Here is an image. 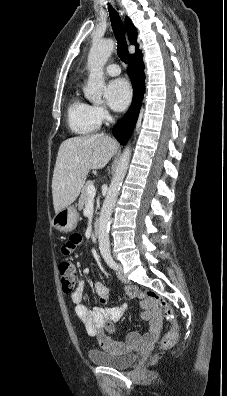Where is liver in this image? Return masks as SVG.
<instances>
[{
	"mask_svg": "<svg viewBox=\"0 0 227 396\" xmlns=\"http://www.w3.org/2000/svg\"><path fill=\"white\" fill-rule=\"evenodd\" d=\"M117 150V142L104 134L72 137L61 143L52 179L55 213L76 200L88 172L104 168Z\"/></svg>",
	"mask_w": 227,
	"mask_h": 396,
	"instance_id": "liver-1",
	"label": "liver"
}]
</instances>
